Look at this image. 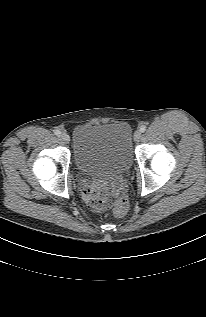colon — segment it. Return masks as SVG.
<instances>
[{"instance_id":"5ec220e1","label":"colon","mask_w":206,"mask_h":317,"mask_svg":"<svg viewBox=\"0 0 206 317\" xmlns=\"http://www.w3.org/2000/svg\"><path fill=\"white\" fill-rule=\"evenodd\" d=\"M84 193L88 205L96 212L112 209L116 217H122L128 210V200L123 195H114L98 187L88 188Z\"/></svg>"}]
</instances>
